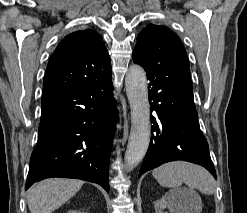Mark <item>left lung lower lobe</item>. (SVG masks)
I'll return each instance as SVG.
<instances>
[{"label": "left lung lower lobe", "mask_w": 247, "mask_h": 213, "mask_svg": "<svg viewBox=\"0 0 247 213\" xmlns=\"http://www.w3.org/2000/svg\"><path fill=\"white\" fill-rule=\"evenodd\" d=\"M146 73L153 126L139 177L163 163L184 160L202 165L216 179L209 147L199 127L190 70L148 67Z\"/></svg>", "instance_id": "1"}]
</instances>
